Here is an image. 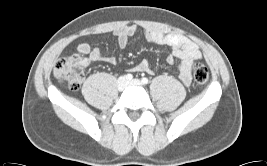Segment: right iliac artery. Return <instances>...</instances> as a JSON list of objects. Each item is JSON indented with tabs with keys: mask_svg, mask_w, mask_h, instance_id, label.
I'll list each match as a JSON object with an SVG mask.
<instances>
[{
	"mask_svg": "<svg viewBox=\"0 0 267 166\" xmlns=\"http://www.w3.org/2000/svg\"><path fill=\"white\" fill-rule=\"evenodd\" d=\"M126 78H127L128 80H131V79H132V75H131V74H128V75L126 76Z\"/></svg>",
	"mask_w": 267,
	"mask_h": 166,
	"instance_id": "obj_1",
	"label": "right iliac artery"
}]
</instances>
